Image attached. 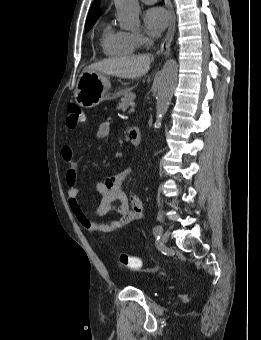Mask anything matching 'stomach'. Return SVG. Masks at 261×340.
<instances>
[{
    "instance_id": "0dacf381",
    "label": "stomach",
    "mask_w": 261,
    "mask_h": 340,
    "mask_svg": "<svg viewBox=\"0 0 261 340\" xmlns=\"http://www.w3.org/2000/svg\"><path fill=\"white\" fill-rule=\"evenodd\" d=\"M110 88V80L105 74L84 70L77 81L74 98L79 106L92 108L104 100L116 97H111Z\"/></svg>"
}]
</instances>
